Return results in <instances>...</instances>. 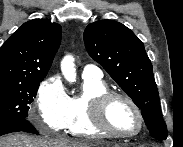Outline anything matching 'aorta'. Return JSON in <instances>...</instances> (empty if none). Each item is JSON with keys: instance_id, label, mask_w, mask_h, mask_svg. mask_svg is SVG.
Returning a JSON list of instances; mask_svg holds the SVG:
<instances>
[{"instance_id": "762f6f07", "label": "aorta", "mask_w": 183, "mask_h": 147, "mask_svg": "<svg viewBox=\"0 0 183 147\" xmlns=\"http://www.w3.org/2000/svg\"><path fill=\"white\" fill-rule=\"evenodd\" d=\"M61 71L68 82L73 83L76 81V68L72 56L68 55L63 58L61 62Z\"/></svg>"}]
</instances>
